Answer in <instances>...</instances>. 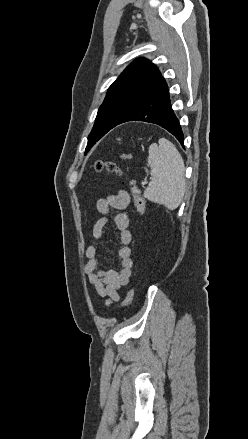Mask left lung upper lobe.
Masks as SVG:
<instances>
[{"instance_id": "left-lung-upper-lobe-1", "label": "left lung upper lobe", "mask_w": 248, "mask_h": 439, "mask_svg": "<svg viewBox=\"0 0 248 439\" xmlns=\"http://www.w3.org/2000/svg\"><path fill=\"white\" fill-rule=\"evenodd\" d=\"M161 77L158 68L143 58L136 59L124 70L109 87L98 110L85 154L137 105Z\"/></svg>"}]
</instances>
